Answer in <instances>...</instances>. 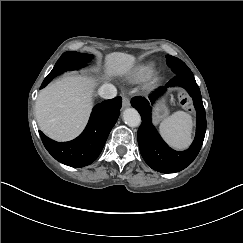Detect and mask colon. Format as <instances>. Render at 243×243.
I'll use <instances>...</instances> for the list:
<instances>
[{
	"mask_svg": "<svg viewBox=\"0 0 243 243\" xmlns=\"http://www.w3.org/2000/svg\"><path fill=\"white\" fill-rule=\"evenodd\" d=\"M180 101H181V104L185 107L188 106V98L186 97V95L182 94L180 96Z\"/></svg>",
	"mask_w": 243,
	"mask_h": 243,
	"instance_id": "5ec220e1",
	"label": "colon"
}]
</instances>
